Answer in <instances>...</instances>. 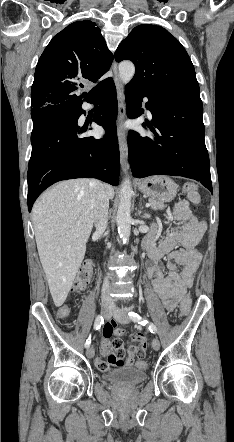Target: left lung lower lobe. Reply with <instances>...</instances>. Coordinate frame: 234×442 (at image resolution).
<instances>
[{
    "label": "left lung lower lobe",
    "mask_w": 234,
    "mask_h": 442,
    "mask_svg": "<svg viewBox=\"0 0 234 442\" xmlns=\"http://www.w3.org/2000/svg\"><path fill=\"white\" fill-rule=\"evenodd\" d=\"M152 121L143 123L154 136L129 131V161L133 175L183 176L200 181L212 192L209 156L205 146L200 95L158 94L128 84L125 88L129 118H137L142 98ZM142 110V109H141Z\"/></svg>",
    "instance_id": "obj_1"
}]
</instances>
